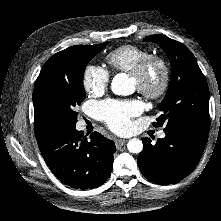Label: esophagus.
Returning <instances> with one entry per match:
<instances>
[{
    "mask_svg": "<svg viewBox=\"0 0 221 221\" xmlns=\"http://www.w3.org/2000/svg\"><path fill=\"white\" fill-rule=\"evenodd\" d=\"M126 143V140L124 139H116L115 140V145L117 148H120L121 146H123Z\"/></svg>",
    "mask_w": 221,
    "mask_h": 221,
    "instance_id": "obj_1",
    "label": "esophagus"
}]
</instances>
